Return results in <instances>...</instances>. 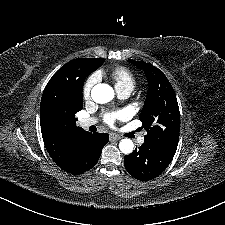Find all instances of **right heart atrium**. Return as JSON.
<instances>
[{
	"instance_id": "d8ad5b80",
	"label": "right heart atrium",
	"mask_w": 225,
	"mask_h": 225,
	"mask_svg": "<svg viewBox=\"0 0 225 225\" xmlns=\"http://www.w3.org/2000/svg\"><path fill=\"white\" fill-rule=\"evenodd\" d=\"M98 82V76L96 74L90 75L83 86L82 95L85 99L90 98L92 89Z\"/></svg>"
}]
</instances>
